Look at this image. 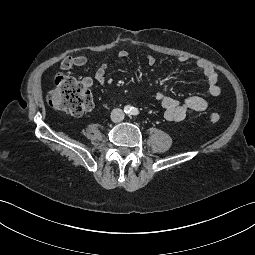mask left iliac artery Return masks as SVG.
Here are the masks:
<instances>
[{"instance_id":"left-iliac-artery-1","label":"left iliac artery","mask_w":255,"mask_h":255,"mask_svg":"<svg viewBox=\"0 0 255 255\" xmlns=\"http://www.w3.org/2000/svg\"><path fill=\"white\" fill-rule=\"evenodd\" d=\"M131 113L132 115L136 116L139 114V110L137 108H133Z\"/></svg>"}]
</instances>
